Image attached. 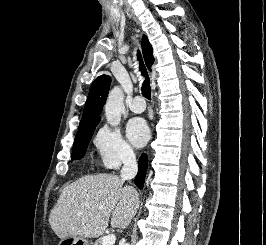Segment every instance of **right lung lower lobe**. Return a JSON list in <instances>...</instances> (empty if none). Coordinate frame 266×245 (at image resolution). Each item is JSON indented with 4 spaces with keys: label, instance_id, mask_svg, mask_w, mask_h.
Returning a JSON list of instances; mask_svg holds the SVG:
<instances>
[{
    "label": "right lung lower lobe",
    "instance_id": "98d812e1",
    "mask_svg": "<svg viewBox=\"0 0 266 245\" xmlns=\"http://www.w3.org/2000/svg\"><path fill=\"white\" fill-rule=\"evenodd\" d=\"M147 170V156L146 154H142V156L139 159V170L138 174L135 178V184L138 188L142 189L144 184V178Z\"/></svg>",
    "mask_w": 266,
    "mask_h": 245
}]
</instances>
